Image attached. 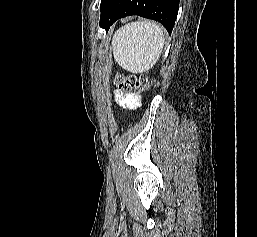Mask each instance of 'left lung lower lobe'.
Instances as JSON below:
<instances>
[{"label":"left lung lower lobe","mask_w":257,"mask_h":237,"mask_svg":"<svg viewBox=\"0 0 257 237\" xmlns=\"http://www.w3.org/2000/svg\"><path fill=\"white\" fill-rule=\"evenodd\" d=\"M178 9L179 0H109L101 10L100 26L108 31L116 20L139 15L160 22L170 34Z\"/></svg>","instance_id":"left-lung-lower-lobe-1"}]
</instances>
